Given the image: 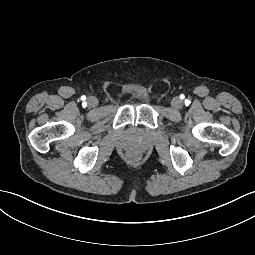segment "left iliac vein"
<instances>
[{
    "instance_id": "obj_1",
    "label": "left iliac vein",
    "mask_w": 255,
    "mask_h": 255,
    "mask_svg": "<svg viewBox=\"0 0 255 255\" xmlns=\"http://www.w3.org/2000/svg\"><path fill=\"white\" fill-rule=\"evenodd\" d=\"M171 105L173 108L179 109L182 106V101L178 97H175L172 99Z\"/></svg>"
}]
</instances>
